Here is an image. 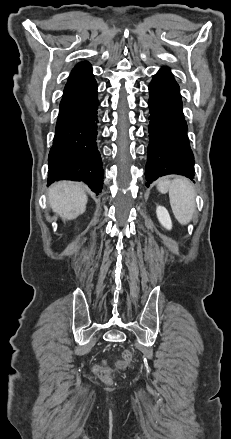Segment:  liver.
<instances>
[{
  "label": "liver",
  "instance_id": "1",
  "mask_svg": "<svg viewBox=\"0 0 231 439\" xmlns=\"http://www.w3.org/2000/svg\"><path fill=\"white\" fill-rule=\"evenodd\" d=\"M48 202L63 220L73 219L86 209L84 185L79 182H56L48 189Z\"/></svg>",
  "mask_w": 231,
  "mask_h": 439
}]
</instances>
